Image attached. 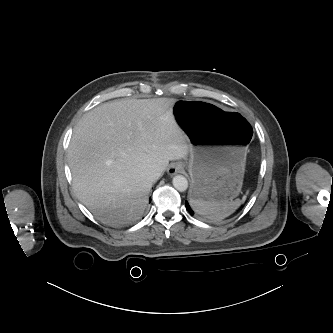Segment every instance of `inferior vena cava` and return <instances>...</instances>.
I'll return each mask as SVG.
<instances>
[{
    "label": "inferior vena cava",
    "mask_w": 333,
    "mask_h": 333,
    "mask_svg": "<svg viewBox=\"0 0 333 333\" xmlns=\"http://www.w3.org/2000/svg\"><path fill=\"white\" fill-rule=\"evenodd\" d=\"M161 176V171H156V170H147L142 173L143 178H148L151 180L158 179V177Z\"/></svg>",
    "instance_id": "602c4592"
}]
</instances>
